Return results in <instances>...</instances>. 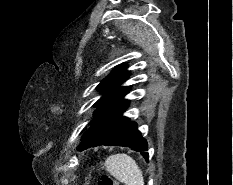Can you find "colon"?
Segmentation results:
<instances>
[{"instance_id":"obj_1","label":"colon","mask_w":233,"mask_h":185,"mask_svg":"<svg viewBox=\"0 0 233 185\" xmlns=\"http://www.w3.org/2000/svg\"><path fill=\"white\" fill-rule=\"evenodd\" d=\"M99 185H118L113 177L108 174H103L101 176Z\"/></svg>"}]
</instances>
